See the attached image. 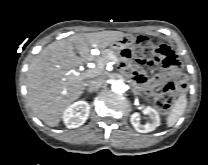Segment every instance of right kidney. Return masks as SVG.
<instances>
[{"label": "right kidney", "mask_w": 208, "mask_h": 165, "mask_svg": "<svg viewBox=\"0 0 208 165\" xmlns=\"http://www.w3.org/2000/svg\"><path fill=\"white\" fill-rule=\"evenodd\" d=\"M90 113V105L86 101H77L65 109L63 121L67 128H77L85 123Z\"/></svg>", "instance_id": "obj_1"}]
</instances>
